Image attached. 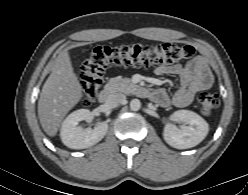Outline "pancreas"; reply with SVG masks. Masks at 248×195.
Masks as SVG:
<instances>
[{
	"mask_svg": "<svg viewBox=\"0 0 248 195\" xmlns=\"http://www.w3.org/2000/svg\"><path fill=\"white\" fill-rule=\"evenodd\" d=\"M106 88L111 92L130 94L136 90L137 86L129 78L114 77L106 84Z\"/></svg>",
	"mask_w": 248,
	"mask_h": 195,
	"instance_id": "obj_1",
	"label": "pancreas"
}]
</instances>
